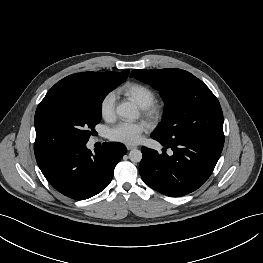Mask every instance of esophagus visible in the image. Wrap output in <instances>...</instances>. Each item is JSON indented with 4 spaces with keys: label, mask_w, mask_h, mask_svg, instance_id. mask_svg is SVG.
<instances>
[{
    "label": "esophagus",
    "mask_w": 263,
    "mask_h": 263,
    "mask_svg": "<svg viewBox=\"0 0 263 263\" xmlns=\"http://www.w3.org/2000/svg\"><path fill=\"white\" fill-rule=\"evenodd\" d=\"M126 148H127L128 150H132V149H135V148H137V147L134 146V145H126Z\"/></svg>",
    "instance_id": "1"
}]
</instances>
